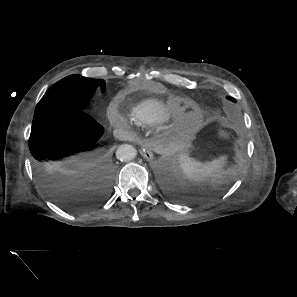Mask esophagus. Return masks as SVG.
<instances>
[{
  "label": "esophagus",
  "mask_w": 297,
  "mask_h": 297,
  "mask_svg": "<svg viewBox=\"0 0 297 297\" xmlns=\"http://www.w3.org/2000/svg\"><path fill=\"white\" fill-rule=\"evenodd\" d=\"M141 155L148 161L153 159V153L149 149L148 145H145L141 150H140Z\"/></svg>",
  "instance_id": "obj_1"
}]
</instances>
